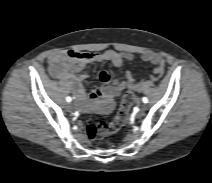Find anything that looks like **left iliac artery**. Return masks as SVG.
Masks as SVG:
<instances>
[{
	"instance_id": "left-iliac-artery-1",
	"label": "left iliac artery",
	"mask_w": 212,
	"mask_h": 183,
	"mask_svg": "<svg viewBox=\"0 0 212 183\" xmlns=\"http://www.w3.org/2000/svg\"><path fill=\"white\" fill-rule=\"evenodd\" d=\"M142 101H143L144 103H147V102H148V99H147L146 97H143V98H142Z\"/></svg>"
}]
</instances>
